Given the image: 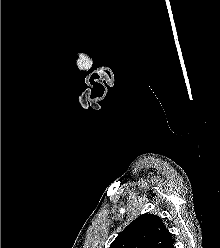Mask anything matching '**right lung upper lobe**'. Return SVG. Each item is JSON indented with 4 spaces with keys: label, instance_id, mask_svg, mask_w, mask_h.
Returning <instances> with one entry per match:
<instances>
[{
    "label": "right lung upper lobe",
    "instance_id": "cb5924a9",
    "mask_svg": "<svg viewBox=\"0 0 220 248\" xmlns=\"http://www.w3.org/2000/svg\"><path fill=\"white\" fill-rule=\"evenodd\" d=\"M172 242L160 217L146 213L131 222L109 248H167Z\"/></svg>",
    "mask_w": 220,
    "mask_h": 248
}]
</instances>
